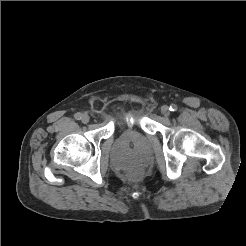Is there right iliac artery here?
<instances>
[{"mask_svg": "<svg viewBox=\"0 0 246 246\" xmlns=\"http://www.w3.org/2000/svg\"><path fill=\"white\" fill-rule=\"evenodd\" d=\"M81 117H82V114L81 113H76L75 114V119L80 120Z\"/></svg>", "mask_w": 246, "mask_h": 246, "instance_id": "82829eb1", "label": "right iliac artery"}]
</instances>
